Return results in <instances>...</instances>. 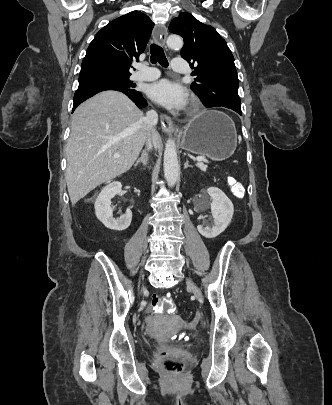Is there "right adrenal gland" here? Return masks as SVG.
Instances as JSON below:
<instances>
[{
    "label": "right adrenal gland",
    "mask_w": 332,
    "mask_h": 405,
    "mask_svg": "<svg viewBox=\"0 0 332 405\" xmlns=\"http://www.w3.org/2000/svg\"><path fill=\"white\" fill-rule=\"evenodd\" d=\"M142 163L144 166H148L149 163V158H148V153L146 151H142L141 157L136 161L135 167Z\"/></svg>",
    "instance_id": "2a0ac1e0"
}]
</instances>
